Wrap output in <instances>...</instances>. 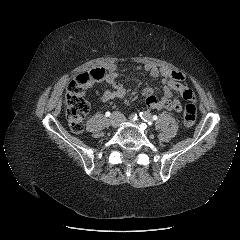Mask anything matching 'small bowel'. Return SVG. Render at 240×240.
<instances>
[{
	"instance_id": "c3829d8e",
	"label": "small bowel",
	"mask_w": 240,
	"mask_h": 240,
	"mask_svg": "<svg viewBox=\"0 0 240 240\" xmlns=\"http://www.w3.org/2000/svg\"><path fill=\"white\" fill-rule=\"evenodd\" d=\"M103 69L105 70V77L103 79L110 85V88L100 93L96 88L97 82H92L89 85L91 93L102 103L121 99L125 95V90L119 82L116 64L109 63ZM137 70L145 71L152 77L160 76L162 78L163 94L160 98L156 96L155 90L152 87H146L142 91L145 103L150 109L181 112L183 106L180 101L173 98V91L179 92L185 100L195 103V94L191 88L183 84L185 77L182 73L166 67H159L154 63H146L143 66H139Z\"/></svg>"
}]
</instances>
